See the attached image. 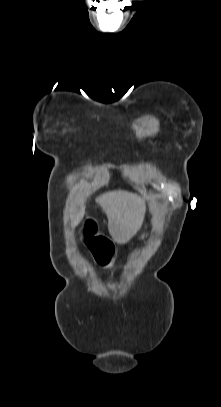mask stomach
Masks as SVG:
<instances>
[{
	"mask_svg": "<svg viewBox=\"0 0 221 407\" xmlns=\"http://www.w3.org/2000/svg\"><path fill=\"white\" fill-rule=\"evenodd\" d=\"M147 237V235L143 234L142 235V239H145Z\"/></svg>",
	"mask_w": 221,
	"mask_h": 407,
	"instance_id": "1",
	"label": "stomach"
}]
</instances>
